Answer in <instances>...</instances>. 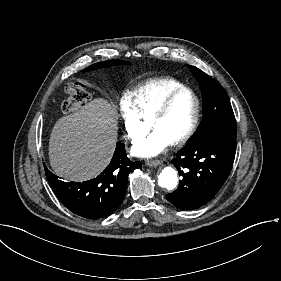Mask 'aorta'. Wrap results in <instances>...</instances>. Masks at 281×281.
Masks as SVG:
<instances>
[{"instance_id":"1","label":"aorta","mask_w":281,"mask_h":281,"mask_svg":"<svg viewBox=\"0 0 281 281\" xmlns=\"http://www.w3.org/2000/svg\"><path fill=\"white\" fill-rule=\"evenodd\" d=\"M178 183L177 173L171 167H165L158 177V184L167 190H173Z\"/></svg>"}]
</instances>
